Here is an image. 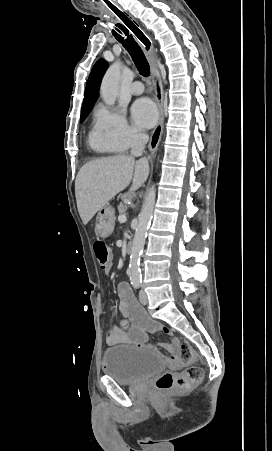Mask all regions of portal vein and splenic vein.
<instances>
[{"label":"portal vein and splenic vein","mask_w":272,"mask_h":451,"mask_svg":"<svg viewBox=\"0 0 272 451\" xmlns=\"http://www.w3.org/2000/svg\"><path fill=\"white\" fill-rule=\"evenodd\" d=\"M118 222H127V218L125 216V214H121V216H118Z\"/></svg>","instance_id":"18ae733b"}]
</instances>
